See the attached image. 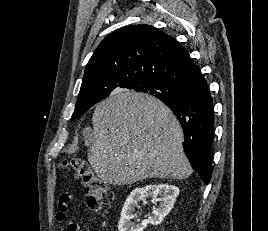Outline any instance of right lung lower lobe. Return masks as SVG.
Segmentation results:
<instances>
[{
  "label": "right lung lower lobe",
  "mask_w": 268,
  "mask_h": 231,
  "mask_svg": "<svg viewBox=\"0 0 268 231\" xmlns=\"http://www.w3.org/2000/svg\"><path fill=\"white\" fill-rule=\"evenodd\" d=\"M181 90L180 97L161 101L181 123L186 156L204 183L208 184L212 176L211 149L214 140V107L209 86L202 77Z\"/></svg>",
  "instance_id": "obj_1"
}]
</instances>
